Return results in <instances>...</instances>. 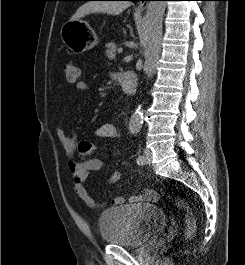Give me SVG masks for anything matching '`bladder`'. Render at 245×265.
<instances>
[{
  "instance_id": "bladder-1",
  "label": "bladder",
  "mask_w": 245,
  "mask_h": 265,
  "mask_svg": "<svg viewBox=\"0 0 245 265\" xmlns=\"http://www.w3.org/2000/svg\"><path fill=\"white\" fill-rule=\"evenodd\" d=\"M167 222L159 206L139 203L105 209L97 226L105 243L138 248L152 241Z\"/></svg>"
}]
</instances>
